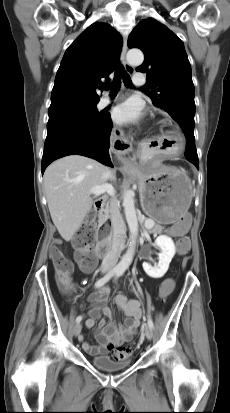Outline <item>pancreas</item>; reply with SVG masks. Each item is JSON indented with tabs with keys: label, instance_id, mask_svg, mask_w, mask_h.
<instances>
[{
	"label": "pancreas",
	"instance_id": "pancreas-1",
	"mask_svg": "<svg viewBox=\"0 0 230 413\" xmlns=\"http://www.w3.org/2000/svg\"><path fill=\"white\" fill-rule=\"evenodd\" d=\"M104 216H108L109 212H110V208L107 205L103 210ZM164 229L163 226L159 225V224H154V226L152 227V229L149 230L150 233H159L162 232V230Z\"/></svg>",
	"mask_w": 230,
	"mask_h": 413
}]
</instances>
